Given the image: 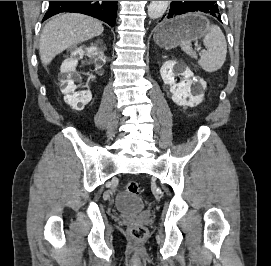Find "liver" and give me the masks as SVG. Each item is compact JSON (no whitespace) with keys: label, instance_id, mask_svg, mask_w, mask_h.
Returning <instances> with one entry per match:
<instances>
[{"label":"liver","instance_id":"6515ba94","mask_svg":"<svg viewBox=\"0 0 271 266\" xmlns=\"http://www.w3.org/2000/svg\"><path fill=\"white\" fill-rule=\"evenodd\" d=\"M104 31L102 23L90 16L65 13L51 18L42 30L39 54L44 66L68 47L99 36Z\"/></svg>","mask_w":271,"mask_h":266}]
</instances>
